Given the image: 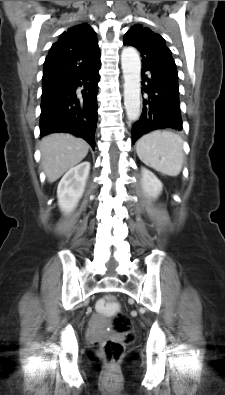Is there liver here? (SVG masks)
<instances>
[{
	"label": "liver",
	"mask_w": 225,
	"mask_h": 395,
	"mask_svg": "<svg viewBox=\"0 0 225 395\" xmlns=\"http://www.w3.org/2000/svg\"><path fill=\"white\" fill-rule=\"evenodd\" d=\"M88 143L70 134L57 133L44 137L40 143L41 165L48 182L58 180L87 155Z\"/></svg>",
	"instance_id": "obj_1"
}]
</instances>
